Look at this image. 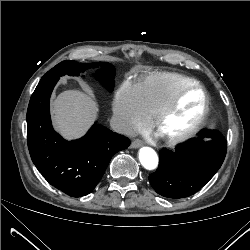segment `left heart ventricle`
<instances>
[{"mask_svg":"<svg viewBox=\"0 0 250 250\" xmlns=\"http://www.w3.org/2000/svg\"><path fill=\"white\" fill-rule=\"evenodd\" d=\"M202 105L203 98L200 91L187 92L174 112L162 124L160 133L167 136L186 130L199 117Z\"/></svg>","mask_w":250,"mask_h":250,"instance_id":"left-heart-ventricle-1","label":"left heart ventricle"}]
</instances>
